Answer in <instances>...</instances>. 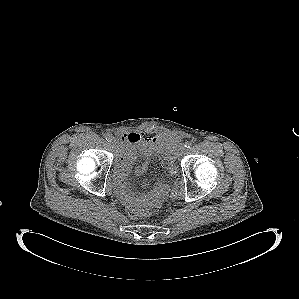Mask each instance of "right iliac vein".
Wrapping results in <instances>:
<instances>
[{
  "label": "right iliac vein",
  "mask_w": 299,
  "mask_h": 299,
  "mask_svg": "<svg viewBox=\"0 0 299 299\" xmlns=\"http://www.w3.org/2000/svg\"><path fill=\"white\" fill-rule=\"evenodd\" d=\"M117 143H118V140L115 137H113L112 140H111L112 146L116 147Z\"/></svg>",
  "instance_id": "1"
}]
</instances>
